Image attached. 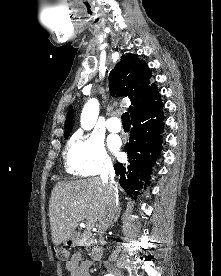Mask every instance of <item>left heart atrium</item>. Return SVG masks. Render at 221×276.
Listing matches in <instances>:
<instances>
[{"label": "left heart atrium", "mask_w": 221, "mask_h": 276, "mask_svg": "<svg viewBox=\"0 0 221 276\" xmlns=\"http://www.w3.org/2000/svg\"><path fill=\"white\" fill-rule=\"evenodd\" d=\"M118 146H119V144H118L117 141H112V143H111V148L112 149L116 150L118 148Z\"/></svg>", "instance_id": "1"}]
</instances>
